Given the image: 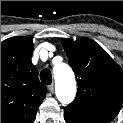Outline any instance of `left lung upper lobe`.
Instances as JSON below:
<instances>
[{
  "label": "left lung upper lobe",
  "mask_w": 123,
  "mask_h": 123,
  "mask_svg": "<svg viewBox=\"0 0 123 123\" xmlns=\"http://www.w3.org/2000/svg\"><path fill=\"white\" fill-rule=\"evenodd\" d=\"M62 44L78 85L75 100L66 107L112 120L123 101V69L91 39H63Z\"/></svg>",
  "instance_id": "left-lung-upper-lobe-1"
}]
</instances>
